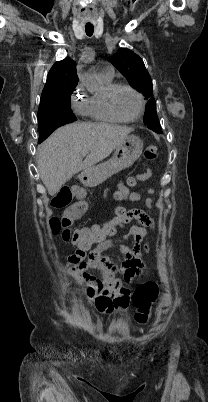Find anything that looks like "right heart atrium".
<instances>
[{"label":"right heart atrium","mask_w":208,"mask_h":402,"mask_svg":"<svg viewBox=\"0 0 208 402\" xmlns=\"http://www.w3.org/2000/svg\"><path fill=\"white\" fill-rule=\"evenodd\" d=\"M71 106L80 115H85L89 111L90 98L85 94L84 87L78 83L71 94Z\"/></svg>","instance_id":"d8ad5b80"}]
</instances>
